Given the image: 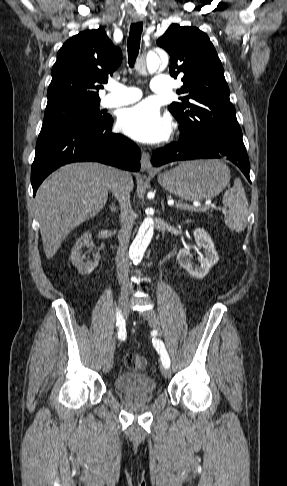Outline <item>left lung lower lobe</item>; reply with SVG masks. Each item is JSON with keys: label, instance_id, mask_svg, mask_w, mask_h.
<instances>
[{"label": "left lung lower lobe", "instance_id": "left-lung-lower-lobe-1", "mask_svg": "<svg viewBox=\"0 0 287 486\" xmlns=\"http://www.w3.org/2000/svg\"><path fill=\"white\" fill-rule=\"evenodd\" d=\"M205 158L230 160L241 169L250 181V164L243 142L220 136L206 137L200 134H187L182 131L177 143L157 149L152 155L151 161L154 166H161L173 161Z\"/></svg>", "mask_w": 287, "mask_h": 486}]
</instances>
